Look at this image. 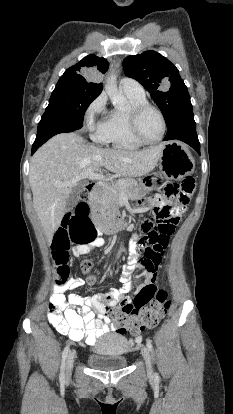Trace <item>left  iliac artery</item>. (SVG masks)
Instances as JSON below:
<instances>
[{
    "label": "left iliac artery",
    "instance_id": "obj_1",
    "mask_svg": "<svg viewBox=\"0 0 233 414\" xmlns=\"http://www.w3.org/2000/svg\"><path fill=\"white\" fill-rule=\"evenodd\" d=\"M146 345H147V348H148L150 351H152L153 346H152V343H151V341H150V340H147V341H146ZM155 376L157 377V374H155Z\"/></svg>",
    "mask_w": 233,
    "mask_h": 414
}]
</instances>
